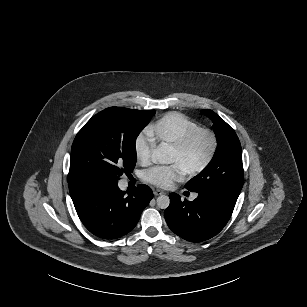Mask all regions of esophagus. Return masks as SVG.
I'll return each instance as SVG.
<instances>
[{
  "label": "esophagus",
  "instance_id": "esophagus-1",
  "mask_svg": "<svg viewBox=\"0 0 307 307\" xmlns=\"http://www.w3.org/2000/svg\"><path fill=\"white\" fill-rule=\"evenodd\" d=\"M162 194H164V192H163L162 190L156 189V190L154 191V195H155V196H159V195H162Z\"/></svg>",
  "mask_w": 307,
  "mask_h": 307
}]
</instances>
